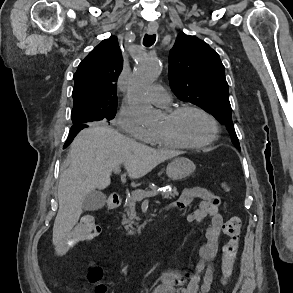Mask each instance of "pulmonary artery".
<instances>
[{"mask_svg":"<svg viewBox=\"0 0 293 293\" xmlns=\"http://www.w3.org/2000/svg\"><path fill=\"white\" fill-rule=\"evenodd\" d=\"M148 99L156 106L166 108L171 103V95L162 85H153L147 95Z\"/></svg>","mask_w":293,"mask_h":293,"instance_id":"obj_1","label":"pulmonary artery"}]
</instances>
